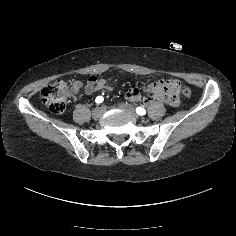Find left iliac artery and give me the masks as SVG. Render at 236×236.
<instances>
[{
	"label": "left iliac artery",
	"mask_w": 236,
	"mask_h": 236,
	"mask_svg": "<svg viewBox=\"0 0 236 236\" xmlns=\"http://www.w3.org/2000/svg\"><path fill=\"white\" fill-rule=\"evenodd\" d=\"M136 113L142 116V115L146 114V110L142 107H137L136 108Z\"/></svg>",
	"instance_id": "left-iliac-artery-1"
}]
</instances>
